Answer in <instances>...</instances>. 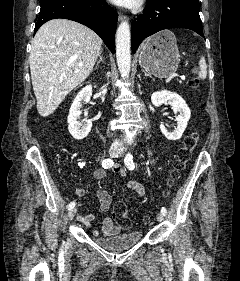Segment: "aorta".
Wrapping results in <instances>:
<instances>
[{
  "instance_id": "obj_1",
  "label": "aorta",
  "mask_w": 240,
  "mask_h": 281,
  "mask_svg": "<svg viewBox=\"0 0 240 281\" xmlns=\"http://www.w3.org/2000/svg\"><path fill=\"white\" fill-rule=\"evenodd\" d=\"M130 38L129 23L123 21L118 26L116 32V58L122 77H128L131 69Z\"/></svg>"
}]
</instances>
